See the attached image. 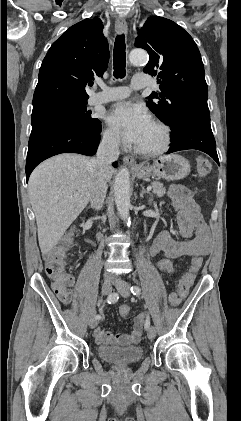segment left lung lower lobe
<instances>
[{"mask_svg":"<svg viewBox=\"0 0 241 421\" xmlns=\"http://www.w3.org/2000/svg\"><path fill=\"white\" fill-rule=\"evenodd\" d=\"M171 147L167 154L187 149H197L210 155L218 164L216 142L211 130L210 114L199 112L189 118L180 133L171 137Z\"/></svg>","mask_w":241,"mask_h":421,"instance_id":"obj_1","label":"left lung lower lobe"}]
</instances>
